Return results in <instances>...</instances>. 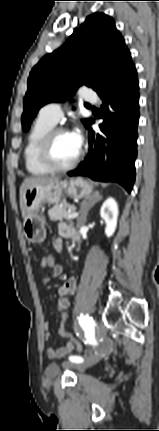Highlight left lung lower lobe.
<instances>
[{"label": "left lung lower lobe", "instance_id": "0a47b994", "mask_svg": "<svg viewBox=\"0 0 159 431\" xmlns=\"http://www.w3.org/2000/svg\"><path fill=\"white\" fill-rule=\"evenodd\" d=\"M138 89L136 68L132 63L99 93L100 117L104 121L99 125V132L89 129V153L77 169L68 172L69 176L117 182L131 192L136 176Z\"/></svg>", "mask_w": 159, "mask_h": 431}]
</instances>
